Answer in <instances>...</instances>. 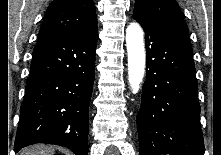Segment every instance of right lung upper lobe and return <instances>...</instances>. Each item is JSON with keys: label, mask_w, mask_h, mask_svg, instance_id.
<instances>
[{"label": "right lung upper lobe", "mask_w": 221, "mask_h": 155, "mask_svg": "<svg viewBox=\"0 0 221 155\" xmlns=\"http://www.w3.org/2000/svg\"><path fill=\"white\" fill-rule=\"evenodd\" d=\"M97 26L92 0H54L48 6L39 37L77 33Z\"/></svg>", "instance_id": "obj_1"}]
</instances>
